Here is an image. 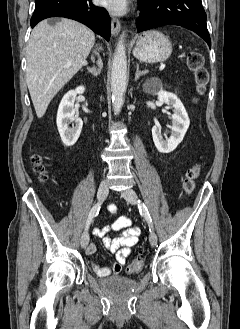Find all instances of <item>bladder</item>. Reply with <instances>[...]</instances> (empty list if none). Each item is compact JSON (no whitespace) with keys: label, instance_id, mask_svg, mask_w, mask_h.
Wrapping results in <instances>:
<instances>
[{"label":"bladder","instance_id":"obj_1","mask_svg":"<svg viewBox=\"0 0 240 329\" xmlns=\"http://www.w3.org/2000/svg\"><path fill=\"white\" fill-rule=\"evenodd\" d=\"M101 288L113 296H121L135 288L136 279L124 276H110L99 281Z\"/></svg>","mask_w":240,"mask_h":329}]
</instances>
